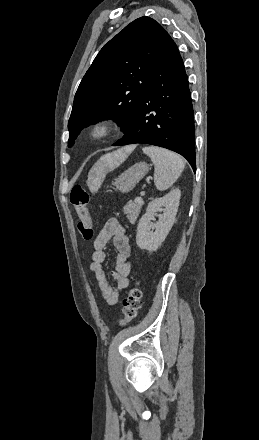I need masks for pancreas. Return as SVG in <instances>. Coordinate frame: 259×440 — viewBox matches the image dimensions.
I'll use <instances>...</instances> for the list:
<instances>
[{
	"instance_id": "obj_1",
	"label": "pancreas",
	"mask_w": 259,
	"mask_h": 440,
	"mask_svg": "<svg viewBox=\"0 0 259 440\" xmlns=\"http://www.w3.org/2000/svg\"><path fill=\"white\" fill-rule=\"evenodd\" d=\"M144 202H138V201H130L127 203V205L124 206L123 212L127 215V218L130 221H133L136 219V217L139 215L140 210L143 206Z\"/></svg>"
}]
</instances>
